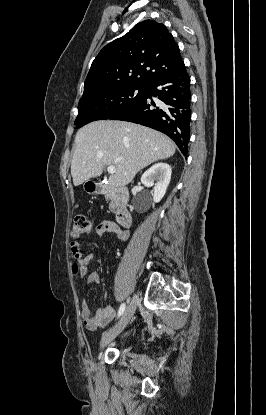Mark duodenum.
Listing matches in <instances>:
<instances>
[{
	"mask_svg": "<svg viewBox=\"0 0 266 415\" xmlns=\"http://www.w3.org/2000/svg\"><path fill=\"white\" fill-rule=\"evenodd\" d=\"M90 191L98 195L112 196L115 203V217L117 223L124 228L131 225L132 218L127 208L129 192L126 188L101 182H93L90 185Z\"/></svg>",
	"mask_w": 266,
	"mask_h": 415,
	"instance_id": "1",
	"label": "duodenum"
}]
</instances>
